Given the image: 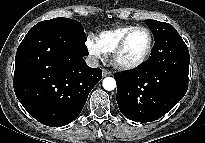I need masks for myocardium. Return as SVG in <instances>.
Segmentation results:
<instances>
[{
    "mask_svg": "<svg viewBox=\"0 0 205 143\" xmlns=\"http://www.w3.org/2000/svg\"><path fill=\"white\" fill-rule=\"evenodd\" d=\"M136 30H144L147 32L148 37H149L148 47L145 53L143 54V56L138 61L133 62V63H122L119 61V56L123 52L129 37ZM152 49H153V34L151 30L148 27L142 26V25L134 26L130 30H128L123 35L121 40L118 42V44L116 45V47L111 53V60H112L113 65L120 70H125V71L134 70V69L141 67L148 60V58L151 55Z\"/></svg>",
    "mask_w": 205,
    "mask_h": 143,
    "instance_id": "f54148a6",
    "label": "myocardium"
}]
</instances>
